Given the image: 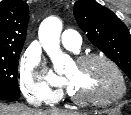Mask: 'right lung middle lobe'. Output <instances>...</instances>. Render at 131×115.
I'll use <instances>...</instances> for the list:
<instances>
[{
	"label": "right lung middle lobe",
	"instance_id": "dd1d6c3e",
	"mask_svg": "<svg viewBox=\"0 0 131 115\" xmlns=\"http://www.w3.org/2000/svg\"><path fill=\"white\" fill-rule=\"evenodd\" d=\"M21 52L0 55V100L18 99V59Z\"/></svg>",
	"mask_w": 131,
	"mask_h": 115
}]
</instances>
